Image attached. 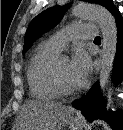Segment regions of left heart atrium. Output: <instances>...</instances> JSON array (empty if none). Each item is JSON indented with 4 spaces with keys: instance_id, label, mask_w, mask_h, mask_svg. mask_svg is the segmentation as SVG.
<instances>
[{
    "instance_id": "39dd6f15",
    "label": "left heart atrium",
    "mask_w": 123,
    "mask_h": 130,
    "mask_svg": "<svg viewBox=\"0 0 123 130\" xmlns=\"http://www.w3.org/2000/svg\"><path fill=\"white\" fill-rule=\"evenodd\" d=\"M69 69L74 81L81 86L91 69V58L84 49L80 47L75 49L69 62Z\"/></svg>"
}]
</instances>
